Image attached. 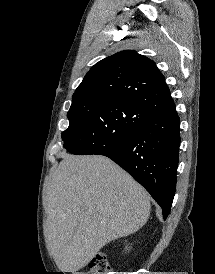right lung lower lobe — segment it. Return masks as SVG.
I'll use <instances>...</instances> for the list:
<instances>
[{
	"label": "right lung lower lobe",
	"instance_id": "obj_1",
	"mask_svg": "<svg viewBox=\"0 0 215 274\" xmlns=\"http://www.w3.org/2000/svg\"><path fill=\"white\" fill-rule=\"evenodd\" d=\"M179 146L180 121L174 107L153 114L132 135L96 155L109 157L139 182L165 219L175 194Z\"/></svg>",
	"mask_w": 215,
	"mask_h": 274
}]
</instances>
